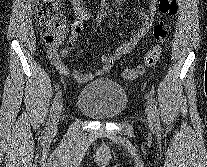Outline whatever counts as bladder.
I'll return each instance as SVG.
<instances>
[{"mask_svg":"<svg viewBox=\"0 0 207 167\" xmlns=\"http://www.w3.org/2000/svg\"><path fill=\"white\" fill-rule=\"evenodd\" d=\"M76 105L88 117L96 120H113L126 110L128 96L120 84L110 79H99L81 89Z\"/></svg>","mask_w":207,"mask_h":167,"instance_id":"obj_1","label":"bladder"}]
</instances>
